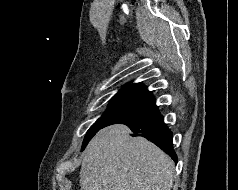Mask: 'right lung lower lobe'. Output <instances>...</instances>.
<instances>
[{"instance_id":"right-lung-lower-lobe-1","label":"right lung lower lobe","mask_w":238,"mask_h":190,"mask_svg":"<svg viewBox=\"0 0 238 190\" xmlns=\"http://www.w3.org/2000/svg\"><path fill=\"white\" fill-rule=\"evenodd\" d=\"M122 124L128 126L133 133L142 134L145 138L160 147L177 163V155L174 152L172 143V132L164 123V118L157 106Z\"/></svg>"}]
</instances>
